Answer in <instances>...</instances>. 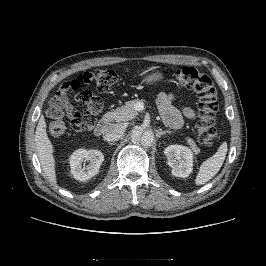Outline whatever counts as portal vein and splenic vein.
Wrapping results in <instances>:
<instances>
[{
	"mask_svg": "<svg viewBox=\"0 0 266 266\" xmlns=\"http://www.w3.org/2000/svg\"><path fill=\"white\" fill-rule=\"evenodd\" d=\"M137 105H138V107H139L140 109H142V108H143V104H141V103H138Z\"/></svg>",
	"mask_w": 266,
	"mask_h": 266,
	"instance_id": "portal-vein-and-splenic-vein-1",
	"label": "portal vein and splenic vein"
}]
</instances>
